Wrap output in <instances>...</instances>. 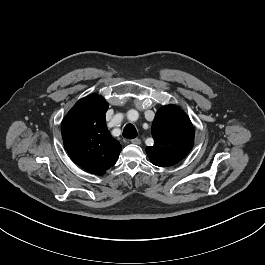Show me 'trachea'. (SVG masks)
Returning a JSON list of instances; mask_svg holds the SVG:
<instances>
[{"label": "trachea", "instance_id": "trachea-1", "mask_svg": "<svg viewBox=\"0 0 265 265\" xmlns=\"http://www.w3.org/2000/svg\"><path fill=\"white\" fill-rule=\"evenodd\" d=\"M123 136L127 139H134L137 137V130L132 124H127L123 130Z\"/></svg>", "mask_w": 265, "mask_h": 265}]
</instances>
